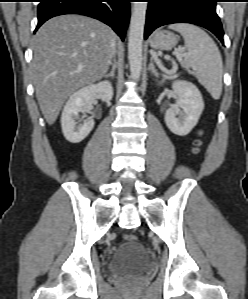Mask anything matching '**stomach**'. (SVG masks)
I'll return each instance as SVG.
<instances>
[{
    "label": "stomach",
    "instance_id": "1",
    "mask_svg": "<svg viewBox=\"0 0 248 299\" xmlns=\"http://www.w3.org/2000/svg\"><path fill=\"white\" fill-rule=\"evenodd\" d=\"M178 43V36L174 33L161 30L157 31L150 39V45L156 50H171Z\"/></svg>",
    "mask_w": 248,
    "mask_h": 299
}]
</instances>
